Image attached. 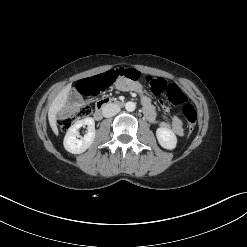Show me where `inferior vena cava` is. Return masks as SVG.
Returning a JSON list of instances; mask_svg holds the SVG:
<instances>
[{
	"instance_id": "1",
	"label": "inferior vena cava",
	"mask_w": 247,
	"mask_h": 247,
	"mask_svg": "<svg viewBox=\"0 0 247 247\" xmlns=\"http://www.w3.org/2000/svg\"><path fill=\"white\" fill-rule=\"evenodd\" d=\"M120 111V107L114 103H107L102 108L103 116L106 118L116 115Z\"/></svg>"
}]
</instances>
